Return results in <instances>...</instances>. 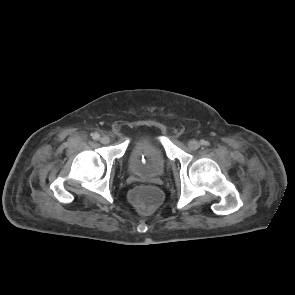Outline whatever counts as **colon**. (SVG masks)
Segmentation results:
<instances>
[{
	"mask_svg": "<svg viewBox=\"0 0 295 295\" xmlns=\"http://www.w3.org/2000/svg\"><path fill=\"white\" fill-rule=\"evenodd\" d=\"M131 202L142 211L152 210L160 201V191L150 185H139L130 192Z\"/></svg>",
	"mask_w": 295,
	"mask_h": 295,
	"instance_id": "5ec220e1",
	"label": "colon"
}]
</instances>
